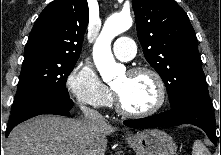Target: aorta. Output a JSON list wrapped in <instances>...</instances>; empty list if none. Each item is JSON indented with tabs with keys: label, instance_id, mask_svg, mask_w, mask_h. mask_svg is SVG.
<instances>
[{
	"label": "aorta",
	"instance_id": "obj_1",
	"mask_svg": "<svg viewBox=\"0 0 221 155\" xmlns=\"http://www.w3.org/2000/svg\"><path fill=\"white\" fill-rule=\"evenodd\" d=\"M130 15H113L105 22L93 47L94 63L104 82L112 81L120 71L121 65L115 62L111 51V41L132 26Z\"/></svg>",
	"mask_w": 221,
	"mask_h": 155
}]
</instances>
